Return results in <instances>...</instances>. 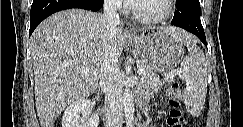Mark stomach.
<instances>
[{"mask_svg": "<svg viewBox=\"0 0 243 127\" xmlns=\"http://www.w3.org/2000/svg\"><path fill=\"white\" fill-rule=\"evenodd\" d=\"M128 39L143 61L157 72H171L184 56L178 37L162 27L148 28Z\"/></svg>", "mask_w": 243, "mask_h": 127, "instance_id": "obj_1", "label": "stomach"}]
</instances>
